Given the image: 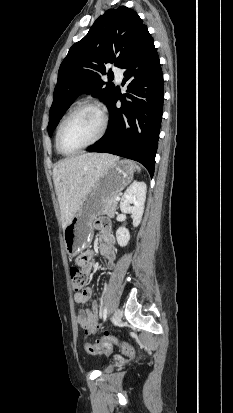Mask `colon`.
Masks as SVG:
<instances>
[{
    "instance_id": "1",
    "label": "colon",
    "mask_w": 233,
    "mask_h": 413,
    "mask_svg": "<svg viewBox=\"0 0 233 413\" xmlns=\"http://www.w3.org/2000/svg\"><path fill=\"white\" fill-rule=\"evenodd\" d=\"M72 287L76 292H79L86 283V276L83 271L77 266H72L69 270ZM113 345H117L120 350L128 355L134 354V349L125 342H119L117 339L110 335L103 336L95 344L86 343L85 349L90 354H100L105 349H110Z\"/></svg>"
}]
</instances>
